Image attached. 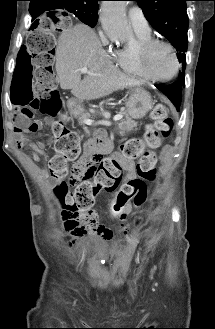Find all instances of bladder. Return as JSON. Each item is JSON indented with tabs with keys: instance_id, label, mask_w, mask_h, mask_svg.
I'll return each instance as SVG.
<instances>
[{
	"instance_id": "bladder-1",
	"label": "bladder",
	"mask_w": 215,
	"mask_h": 329,
	"mask_svg": "<svg viewBox=\"0 0 215 329\" xmlns=\"http://www.w3.org/2000/svg\"><path fill=\"white\" fill-rule=\"evenodd\" d=\"M77 252L84 260L97 264L106 258L112 257L116 252V247L105 238L93 234L77 244Z\"/></svg>"
}]
</instances>
